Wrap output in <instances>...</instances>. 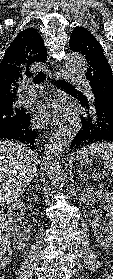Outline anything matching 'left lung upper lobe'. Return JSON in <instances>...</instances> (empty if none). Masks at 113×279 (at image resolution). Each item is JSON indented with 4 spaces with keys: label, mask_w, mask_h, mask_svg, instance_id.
Returning a JSON list of instances; mask_svg holds the SVG:
<instances>
[{
    "label": "left lung upper lobe",
    "mask_w": 113,
    "mask_h": 279,
    "mask_svg": "<svg viewBox=\"0 0 113 279\" xmlns=\"http://www.w3.org/2000/svg\"><path fill=\"white\" fill-rule=\"evenodd\" d=\"M69 46L72 51L85 56L88 63L86 78L91 88L102 90L113 97L112 70L95 37L84 27H77L70 36Z\"/></svg>",
    "instance_id": "left-lung-upper-lobe-1"
}]
</instances>
